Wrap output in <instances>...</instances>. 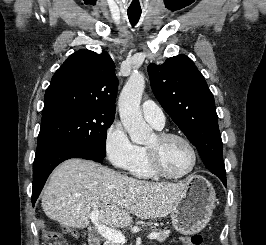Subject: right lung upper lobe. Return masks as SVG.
Listing matches in <instances>:
<instances>
[{"instance_id": "cb5924a9", "label": "right lung upper lobe", "mask_w": 266, "mask_h": 245, "mask_svg": "<svg viewBox=\"0 0 266 245\" xmlns=\"http://www.w3.org/2000/svg\"><path fill=\"white\" fill-rule=\"evenodd\" d=\"M117 87L115 65L107 52L79 50L52 77L45 93L42 119L87 107L115 113Z\"/></svg>"}]
</instances>
